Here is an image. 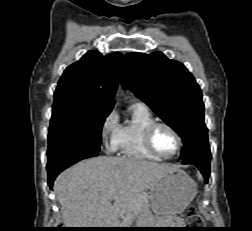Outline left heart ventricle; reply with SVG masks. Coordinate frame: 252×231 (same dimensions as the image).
<instances>
[{
    "label": "left heart ventricle",
    "instance_id": "b2bd125f",
    "mask_svg": "<svg viewBox=\"0 0 252 231\" xmlns=\"http://www.w3.org/2000/svg\"><path fill=\"white\" fill-rule=\"evenodd\" d=\"M153 144L156 150L163 156L172 155L177 149V140L165 127H158L153 134Z\"/></svg>",
    "mask_w": 252,
    "mask_h": 231
}]
</instances>
